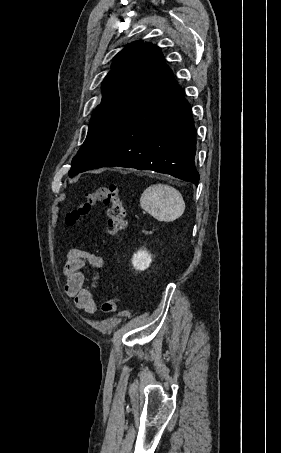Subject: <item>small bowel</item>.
I'll list each match as a JSON object with an SVG mask.
<instances>
[{
  "label": "small bowel",
  "mask_w": 281,
  "mask_h": 453,
  "mask_svg": "<svg viewBox=\"0 0 281 453\" xmlns=\"http://www.w3.org/2000/svg\"><path fill=\"white\" fill-rule=\"evenodd\" d=\"M89 266L94 269H102L105 266L103 259L94 253L71 251L64 267L66 276L65 290L67 295L74 300L77 308L83 312L94 315L97 313V304L92 299L90 292L84 288L83 269ZM102 279L97 278L93 286L103 284Z\"/></svg>",
  "instance_id": "1"
}]
</instances>
